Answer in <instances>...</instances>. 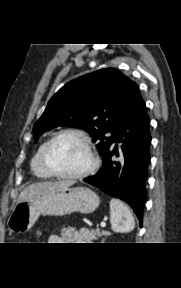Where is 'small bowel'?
<instances>
[{
    "label": "small bowel",
    "instance_id": "obj_1",
    "mask_svg": "<svg viewBox=\"0 0 181 288\" xmlns=\"http://www.w3.org/2000/svg\"><path fill=\"white\" fill-rule=\"evenodd\" d=\"M50 243H58L60 241V238L57 235H52L49 238Z\"/></svg>",
    "mask_w": 181,
    "mask_h": 288
}]
</instances>
